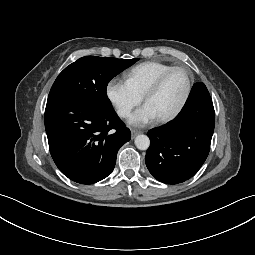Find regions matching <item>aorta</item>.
<instances>
[{
	"label": "aorta",
	"mask_w": 255,
	"mask_h": 255,
	"mask_svg": "<svg viewBox=\"0 0 255 255\" xmlns=\"http://www.w3.org/2000/svg\"><path fill=\"white\" fill-rule=\"evenodd\" d=\"M135 145L140 150H147L150 146V139L146 135H138L135 138Z\"/></svg>",
	"instance_id": "762f6f07"
}]
</instances>
